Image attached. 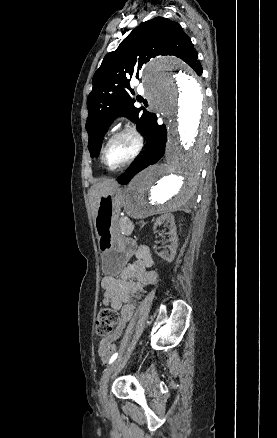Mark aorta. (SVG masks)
<instances>
[{
  "mask_svg": "<svg viewBox=\"0 0 277 438\" xmlns=\"http://www.w3.org/2000/svg\"><path fill=\"white\" fill-rule=\"evenodd\" d=\"M142 79L150 103L167 120L169 138L164 162L130 183L125 209L136 219L174 211L193 197L206 128L201 83L184 64L169 57L152 59Z\"/></svg>",
  "mask_w": 277,
  "mask_h": 438,
  "instance_id": "obj_1",
  "label": "aorta"
}]
</instances>
